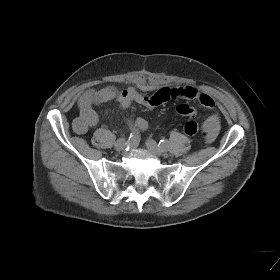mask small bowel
<instances>
[{"mask_svg":"<svg viewBox=\"0 0 280 280\" xmlns=\"http://www.w3.org/2000/svg\"><path fill=\"white\" fill-rule=\"evenodd\" d=\"M172 99H186L199 102L201 105L212 108L215 105L213 98L204 93H200L193 87H164L147 96L140 93L135 87L129 86L119 93H116L112 87H105L99 90L91 89L82 94L78 101L80 115L78 119L82 122L83 128L74 130L79 133H85L90 127L97 124L98 116L93 109L94 105L102 104L114 100L120 109L127 108L131 103L135 102L152 109L166 101ZM181 106H184L181 107ZM178 111L185 116L194 117L196 110L188 104H183L178 107ZM134 126L138 131H145L148 127V122L141 117L134 121ZM205 130L206 141H212L220 129V117L218 114L210 115L202 125Z\"/></svg>","mask_w":280,"mask_h":280,"instance_id":"obj_1","label":"small bowel"}]
</instances>
